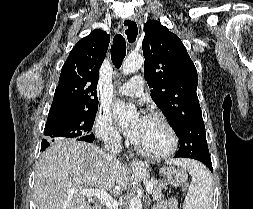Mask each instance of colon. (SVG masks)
<instances>
[{"instance_id":"5ec220e1","label":"colon","mask_w":253,"mask_h":209,"mask_svg":"<svg viewBox=\"0 0 253 209\" xmlns=\"http://www.w3.org/2000/svg\"><path fill=\"white\" fill-rule=\"evenodd\" d=\"M168 179L173 185H187V175L182 170H172L168 173Z\"/></svg>"}]
</instances>
